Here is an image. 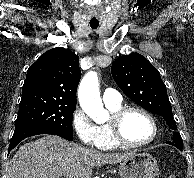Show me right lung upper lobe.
<instances>
[{
    "label": "right lung upper lobe",
    "instance_id": "cb5924a9",
    "mask_svg": "<svg viewBox=\"0 0 194 178\" xmlns=\"http://www.w3.org/2000/svg\"><path fill=\"white\" fill-rule=\"evenodd\" d=\"M79 57L68 49L48 50L29 67L22 99L50 97L76 103L81 77Z\"/></svg>",
    "mask_w": 194,
    "mask_h": 178
}]
</instances>
